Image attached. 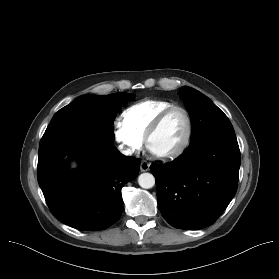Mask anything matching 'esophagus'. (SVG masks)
Returning <instances> with one entry per match:
<instances>
[{
  "mask_svg": "<svg viewBox=\"0 0 279 279\" xmlns=\"http://www.w3.org/2000/svg\"><path fill=\"white\" fill-rule=\"evenodd\" d=\"M149 168H150V164L147 161L143 160L140 164V170L142 172H145V171H148Z\"/></svg>",
  "mask_w": 279,
  "mask_h": 279,
  "instance_id": "1",
  "label": "esophagus"
}]
</instances>
